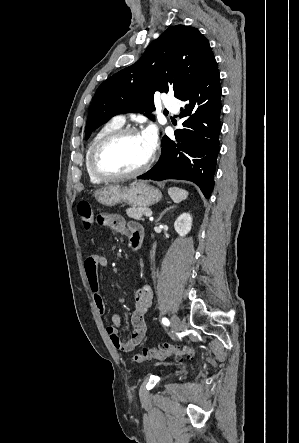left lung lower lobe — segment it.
<instances>
[{
	"label": "left lung lower lobe",
	"mask_w": 299,
	"mask_h": 443,
	"mask_svg": "<svg viewBox=\"0 0 299 443\" xmlns=\"http://www.w3.org/2000/svg\"><path fill=\"white\" fill-rule=\"evenodd\" d=\"M180 100L185 102L180 113L183 128L175 132L174 139L163 137L159 161L138 179L189 180L209 198L221 130V87L216 60Z\"/></svg>",
	"instance_id": "0a47b994"
}]
</instances>
